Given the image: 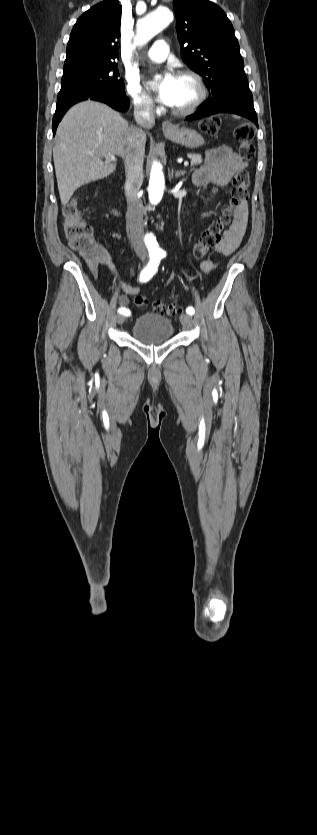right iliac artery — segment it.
Here are the masks:
<instances>
[{
	"instance_id": "obj_1",
	"label": "right iliac artery",
	"mask_w": 317,
	"mask_h": 835,
	"mask_svg": "<svg viewBox=\"0 0 317 835\" xmlns=\"http://www.w3.org/2000/svg\"><path fill=\"white\" fill-rule=\"evenodd\" d=\"M159 263H160V259H158L157 257H150V260H149L147 266L140 273L139 280L141 282L149 281L153 277V275L156 273V271L158 269V266H159ZM118 312L120 314L124 315V316H130V313H131L129 309L123 308V307L119 308Z\"/></svg>"
}]
</instances>
